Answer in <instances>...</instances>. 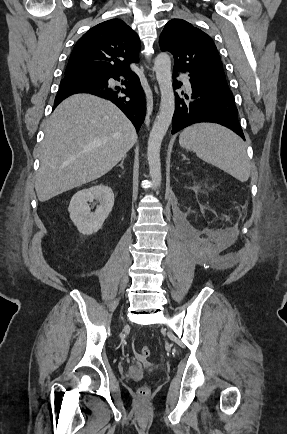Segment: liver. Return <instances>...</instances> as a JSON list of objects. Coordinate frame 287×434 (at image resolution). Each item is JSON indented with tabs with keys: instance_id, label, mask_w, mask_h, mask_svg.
<instances>
[{
	"instance_id": "obj_1",
	"label": "liver",
	"mask_w": 287,
	"mask_h": 434,
	"mask_svg": "<svg viewBox=\"0 0 287 434\" xmlns=\"http://www.w3.org/2000/svg\"><path fill=\"white\" fill-rule=\"evenodd\" d=\"M136 141L134 126L110 101L89 94L66 98L45 128L35 181L39 201L102 177Z\"/></svg>"
}]
</instances>
